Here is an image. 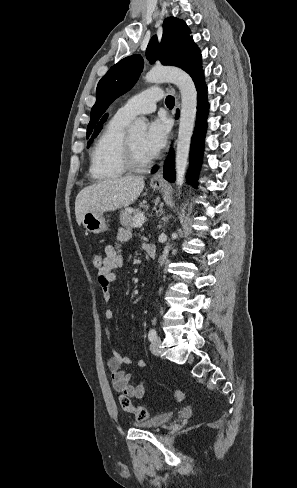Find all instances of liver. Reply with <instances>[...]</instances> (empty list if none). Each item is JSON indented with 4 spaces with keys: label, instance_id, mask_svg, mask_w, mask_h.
Masks as SVG:
<instances>
[{
    "label": "liver",
    "instance_id": "obj_1",
    "mask_svg": "<svg viewBox=\"0 0 297 488\" xmlns=\"http://www.w3.org/2000/svg\"><path fill=\"white\" fill-rule=\"evenodd\" d=\"M144 185L141 176H124L103 180L83 188L75 200L77 222L82 221L86 212H109L133 204Z\"/></svg>",
    "mask_w": 297,
    "mask_h": 488
}]
</instances>
